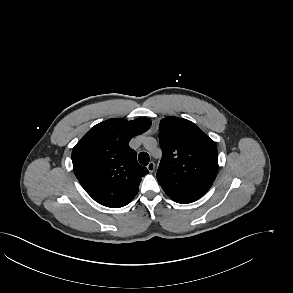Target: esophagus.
<instances>
[{"instance_id": "34e87169", "label": "esophagus", "mask_w": 293, "mask_h": 293, "mask_svg": "<svg viewBox=\"0 0 293 293\" xmlns=\"http://www.w3.org/2000/svg\"><path fill=\"white\" fill-rule=\"evenodd\" d=\"M147 169L150 173H152L155 169V163L154 162H150L148 165H147Z\"/></svg>"}]
</instances>
